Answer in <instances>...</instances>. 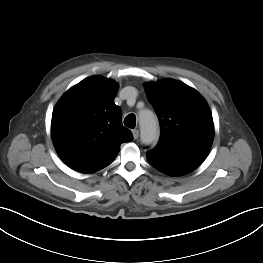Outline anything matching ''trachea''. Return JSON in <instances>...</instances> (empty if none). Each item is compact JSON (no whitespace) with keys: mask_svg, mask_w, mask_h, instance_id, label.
<instances>
[{"mask_svg":"<svg viewBox=\"0 0 263 263\" xmlns=\"http://www.w3.org/2000/svg\"><path fill=\"white\" fill-rule=\"evenodd\" d=\"M124 125L129 128H135L136 126V116L134 114H129L124 119Z\"/></svg>","mask_w":263,"mask_h":263,"instance_id":"trachea-1","label":"trachea"}]
</instances>
